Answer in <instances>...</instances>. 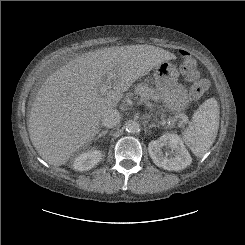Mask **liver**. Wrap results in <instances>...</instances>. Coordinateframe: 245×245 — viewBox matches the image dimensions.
I'll return each mask as SVG.
<instances>
[{
  "mask_svg": "<svg viewBox=\"0 0 245 245\" xmlns=\"http://www.w3.org/2000/svg\"><path fill=\"white\" fill-rule=\"evenodd\" d=\"M176 56L152 45L103 48L78 56L51 74L36 93L28 131L38 154L50 165L65 164L100 131V121L132 84ZM112 72L106 93L100 88Z\"/></svg>",
  "mask_w": 245,
  "mask_h": 245,
  "instance_id": "6515ba94",
  "label": "liver"
}]
</instances>
